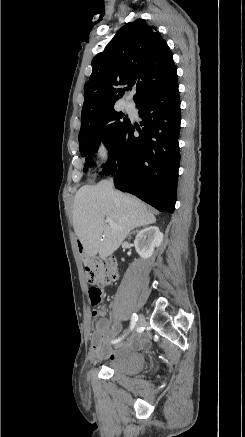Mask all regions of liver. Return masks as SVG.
I'll use <instances>...</instances> for the list:
<instances>
[{
    "mask_svg": "<svg viewBox=\"0 0 245 437\" xmlns=\"http://www.w3.org/2000/svg\"><path fill=\"white\" fill-rule=\"evenodd\" d=\"M111 218L116 227L105 218ZM152 212L139 199L116 191L111 181L82 186L75 195L73 227L87 256L108 257L116 251L129 232L155 223Z\"/></svg>",
    "mask_w": 245,
    "mask_h": 437,
    "instance_id": "6515ba94",
    "label": "liver"
}]
</instances>
